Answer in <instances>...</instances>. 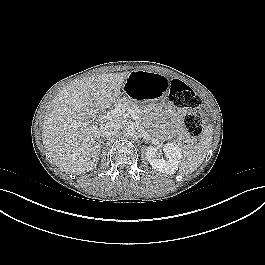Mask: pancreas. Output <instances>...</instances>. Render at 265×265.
I'll list each match as a JSON object with an SVG mask.
<instances>
[{"instance_id":"1","label":"pancreas","mask_w":265,"mask_h":265,"mask_svg":"<svg viewBox=\"0 0 265 265\" xmlns=\"http://www.w3.org/2000/svg\"><path fill=\"white\" fill-rule=\"evenodd\" d=\"M119 105H122L125 108H127V107L131 108L132 110L135 111L136 115H138L139 117L143 114L140 107L133 100H131L128 97L118 98L115 101L114 106L117 107Z\"/></svg>"}]
</instances>
